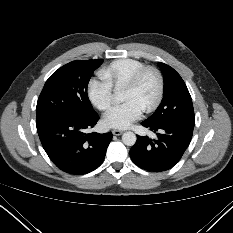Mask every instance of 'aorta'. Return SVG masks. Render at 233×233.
<instances>
[{
  "label": "aorta",
  "instance_id": "aorta-1",
  "mask_svg": "<svg viewBox=\"0 0 233 233\" xmlns=\"http://www.w3.org/2000/svg\"><path fill=\"white\" fill-rule=\"evenodd\" d=\"M136 135L133 132H125L122 135V142L127 146H133L136 143Z\"/></svg>",
  "mask_w": 233,
  "mask_h": 233
}]
</instances>
